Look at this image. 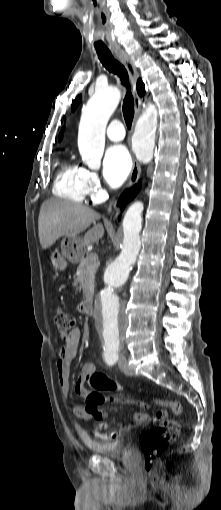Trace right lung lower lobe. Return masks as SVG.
<instances>
[{"label": "right lung lower lobe", "instance_id": "right-lung-lower-lobe-1", "mask_svg": "<svg viewBox=\"0 0 221 510\" xmlns=\"http://www.w3.org/2000/svg\"><path fill=\"white\" fill-rule=\"evenodd\" d=\"M140 188H141V182L136 184L130 192H124L119 199L118 205H121L122 207H124L130 200H132L137 195Z\"/></svg>", "mask_w": 221, "mask_h": 510}]
</instances>
